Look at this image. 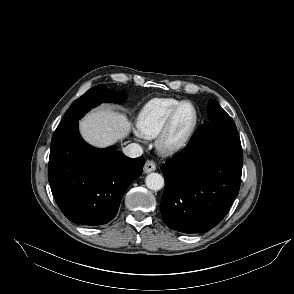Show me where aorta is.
I'll list each match as a JSON object with an SVG mask.
<instances>
[{"label":"aorta","instance_id":"obj_1","mask_svg":"<svg viewBox=\"0 0 294 294\" xmlns=\"http://www.w3.org/2000/svg\"><path fill=\"white\" fill-rule=\"evenodd\" d=\"M146 186L154 191H158L164 186V178L159 173H150L145 179Z\"/></svg>","mask_w":294,"mask_h":294}]
</instances>
